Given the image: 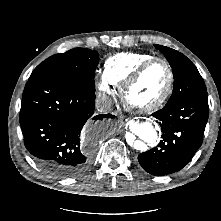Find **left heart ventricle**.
<instances>
[{
	"label": "left heart ventricle",
	"instance_id": "left-heart-ventricle-1",
	"mask_svg": "<svg viewBox=\"0 0 221 221\" xmlns=\"http://www.w3.org/2000/svg\"><path fill=\"white\" fill-rule=\"evenodd\" d=\"M168 83V72L162 63H155L130 89L128 98L138 106L147 105L159 98Z\"/></svg>",
	"mask_w": 221,
	"mask_h": 221
}]
</instances>
